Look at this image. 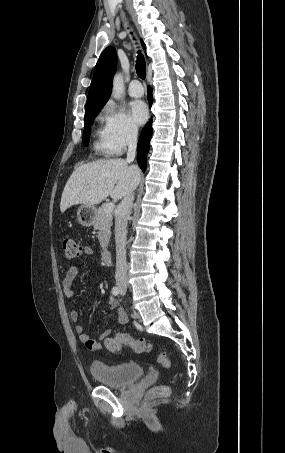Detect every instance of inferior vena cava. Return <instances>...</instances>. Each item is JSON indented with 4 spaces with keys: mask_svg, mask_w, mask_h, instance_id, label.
<instances>
[{
    "mask_svg": "<svg viewBox=\"0 0 285 453\" xmlns=\"http://www.w3.org/2000/svg\"><path fill=\"white\" fill-rule=\"evenodd\" d=\"M137 134L138 130L133 128L130 130L128 136V152L126 161L131 163L134 161L136 156L137 148ZM133 190L124 197L118 206L116 217H115V243H116V272L115 279L119 283H127V262H126V236H127V221L132 211V205L134 200V193L136 186Z\"/></svg>",
    "mask_w": 285,
    "mask_h": 453,
    "instance_id": "1",
    "label": "inferior vena cava"
}]
</instances>
